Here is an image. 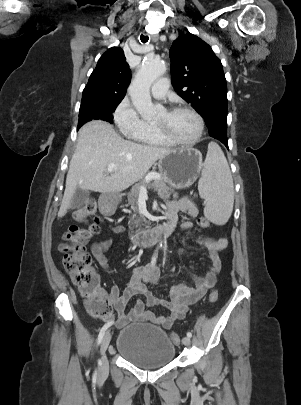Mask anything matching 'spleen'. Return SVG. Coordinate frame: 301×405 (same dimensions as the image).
<instances>
[{
    "label": "spleen",
    "instance_id": "3e777b00",
    "mask_svg": "<svg viewBox=\"0 0 301 405\" xmlns=\"http://www.w3.org/2000/svg\"><path fill=\"white\" fill-rule=\"evenodd\" d=\"M198 188L206 200V217L218 225L226 224L233 210L234 186L228 162L215 142L208 145Z\"/></svg>",
    "mask_w": 301,
    "mask_h": 405
}]
</instances>
